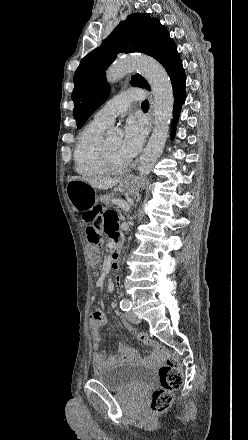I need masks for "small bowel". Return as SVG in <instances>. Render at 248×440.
Listing matches in <instances>:
<instances>
[{
  "label": "small bowel",
  "instance_id": "obj_1",
  "mask_svg": "<svg viewBox=\"0 0 248 440\" xmlns=\"http://www.w3.org/2000/svg\"><path fill=\"white\" fill-rule=\"evenodd\" d=\"M104 227L111 237L118 235L117 232V216L114 213H107L104 217ZM108 292H112L114 285L112 283L108 284ZM123 324L129 327L125 320H122ZM106 316L100 309H95L89 320V330L93 339L94 353L92 357V365L95 371H101L103 368L118 363L120 360L130 359V360H148L152 358L151 354H146L144 356L140 355L133 348L126 345L120 346V355H112L105 357L102 350H100L101 342V330L106 325Z\"/></svg>",
  "mask_w": 248,
  "mask_h": 440
}]
</instances>
